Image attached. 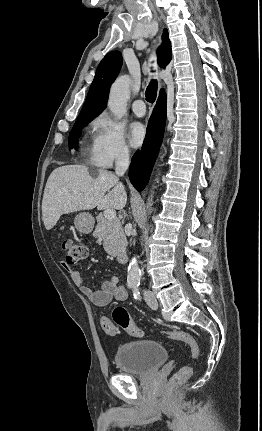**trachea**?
I'll return each mask as SVG.
<instances>
[{
  "instance_id": "1",
  "label": "trachea",
  "mask_w": 262,
  "mask_h": 431,
  "mask_svg": "<svg viewBox=\"0 0 262 431\" xmlns=\"http://www.w3.org/2000/svg\"><path fill=\"white\" fill-rule=\"evenodd\" d=\"M146 100L150 103H153L156 100L157 96V82L151 81L145 92Z\"/></svg>"
}]
</instances>
